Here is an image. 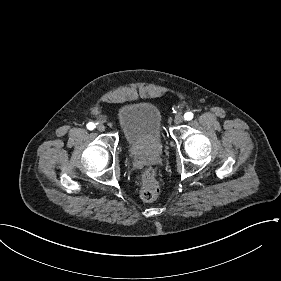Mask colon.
Returning a JSON list of instances; mask_svg holds the SVG:
<instances>
[{"label":"colon","instance_id":"obj_1","mask_svg":"<svg viewBox=\"0 0 281 281\" xmlns=\"http://www.w3.org/2000/svg\"><path fill=\"white\" fill-rule=\"evenodd\" d=\"M160 184L156 171L146 168L141 178V196L144 200H153L158 196Z\"/></svg>","mask_w":281,"mask_h":281}]
</instances>
